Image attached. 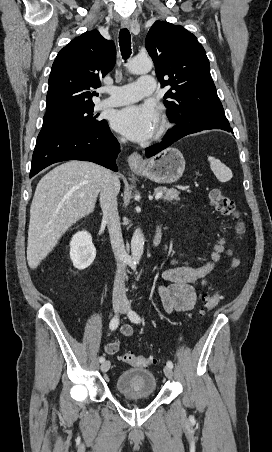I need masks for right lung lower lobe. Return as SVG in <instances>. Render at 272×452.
I'll list each match as a JSON object with an SVG mask.
<instances>
[{"mask_svg": "<svg viewBox=\"0 0 272 452\" xmlns=\"http://www.w3.org/2000/svg\"><path fill=\"white\" fill-rule=\"evenodd\" d=\"M119 152V143L107 122L90 129L43 128L36 141L30 178L53 163L67 160L90 161L117 172Z\"/></svg>", "mask_w": 272, "mask_h": 452, "instance_id": "right-lung-lower-lobe-1", "label": "right lung lower lobe"}]
</instances>
